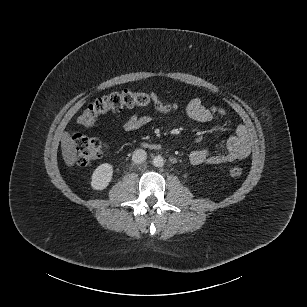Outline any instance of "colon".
Here are the masks:
<instances>
[{"mask_svg": "<svg viewBox=\"0 0 307 307\" xmlns=\"http://www.w3.org/2000/svg\"><path fill=\"white\" fill-rule=\"evenodd\" d=\"M153 106L156 109L171 110L176 106L174 104H165L155 100L152 95L145 91L124 90L114 92L100 97L88 105L78 118V123L83 127H92L97 122L99 116L109 112L118 111L123 108H147ZM72 140L76 147L77 163L81 166H88L97 161L104 153L106 146L97 138L84 136L79 133L72 134ZM233 177H239L243 169L239 166H233L229 169Z\"/></svg>", "mask_w": 307, "mask_h": 307, "instance_id": "obj_1", "label": "colon"}]
</instances>
